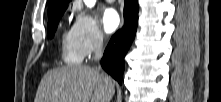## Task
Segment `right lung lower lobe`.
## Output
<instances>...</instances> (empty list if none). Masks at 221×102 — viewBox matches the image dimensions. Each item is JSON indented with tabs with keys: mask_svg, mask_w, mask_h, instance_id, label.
Returning a JSON list of instances; mask_svg holds the SVG:
<instances>
[{
	"mask_svg": "<svg viewBox=\"0 0 221 102\" xmlns=\"http://www.w3.org/2000/svg\"><path fill=\"white\" fill-rule=\"evenodd\" d=\"M138 8L137 0H125V25L122 30H119L112 36L102 58L101 63L103 68L108 74L116 79L119 84L122 83L124 57L135 38Z\"/></svg>",
	"mask_w": 221,
	"mask_h": 102,
	"instance_id": "right-lung-lower-lobe-1",
	"label": "right lung lower lobe"
}]
</instances>
